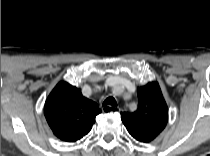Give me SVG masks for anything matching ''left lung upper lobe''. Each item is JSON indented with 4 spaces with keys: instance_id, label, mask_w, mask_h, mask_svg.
Returning a JSON list of instances; mask_svg holds the SVG:
<instances>
[{
    "instance_id": "1",
    "label": "left lung upper lobe",
    "mask_w": 210,
    "mask_h": 156,
    "mask_svg": "<svg viewBox=\"0 0 210 156\" xmlns=\"http://www.w3.org/2000/svg\"><path fill=\"white\" fill-rule=\"evenodd\" d=\"M138 109L133 113H121V120L137 141L148 143L165 128L168 108L157 82H149L137 89Z\"/></svg>"
}]
</instances>
